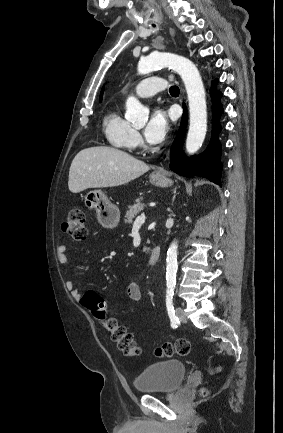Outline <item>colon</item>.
I'll list each match as a JSON object with an SVG mask.
<instances>
[{"instance_id":"1","label":"colon","mask_w":283,"mask_h":433,"mask_svg":"<svg viewBox=\"0 0 283 433\" xmlns=\"http://www.w3.org/2000/svg\"><path fill=\"white\" fill-rule=\"evenodd\" d=\"M62 230L74 241L83 242L87 238V225L84 212L79 208H73L67 219L62 223ZM98 320H100L111 334V339L117 348L128 357H136L140 354V347L124 326L118 324L114 318L107 316L106 303L102 296L93 290L87 291L81 300ZM190 342L186 339H178L174 343H164L155 350L158 357L184 356L190 352Z\"/></svg>"}]
</instances>
